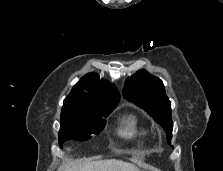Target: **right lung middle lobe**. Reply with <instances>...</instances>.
<instances>
[{
    "instance_id": "obj_1",
    "label": "right lung middle lobe",
    "mask_w": 223,
    "mask_h": 171,
    "mask_svg": "<svg viewBox=\"0 0 223 171\" xmlns=\"http://www.w3.org/2000/svg\"><path fill=\"white\" fill-rule=\"evenodd\" d=\"M115 107L63 106L59 131L60 145L67 140H89L93 135L99 134L106 123L103 117H107Z\"/></svg>"
}]
</instances>
